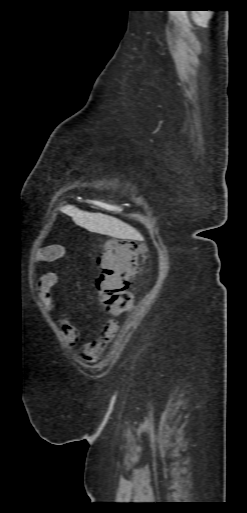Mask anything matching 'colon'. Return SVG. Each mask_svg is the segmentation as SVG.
I'll return each instance as SVG.
<instances>
[{"instance_id":"5ec220e1","label":"colon","mask_w":247,"mask_h":513,"mask_svg":"<svg viewBox=\"0 0 247 513\" xmlns=\"http://www.w3.org/2000/svg\"><path fill=\"white\" fill-rule=\"evenodd\" d=\"M139 252L134 241H107L98 258L96 280L99 301L104 310L121 313L132 303L130 285L138 273Z\"/></svg>"}]
</instances>
